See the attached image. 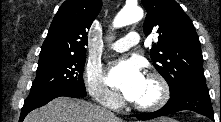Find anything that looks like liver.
Segmentation results:
<instances>
[{
	"instance_id": "liver-1",
	"label": "liver",
	"mask_w": 221,
	"mask_h": 122,
	"mask_svg": "<svg viewBox=\"0 0 221 122\" xmlns=\"http://www.w3.org/2000/svg\"><path fill=\"white\" fill-rule=\"evenodd\" d=\"M24 122H123L120 118L109 117L102 108L86 101L58 97L47 105L33 110Z\"/></svg>"
}]
</instances>
